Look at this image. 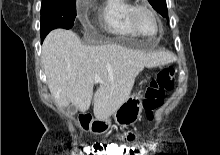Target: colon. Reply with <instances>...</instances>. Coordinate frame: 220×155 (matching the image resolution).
Wrapping results in <instances>:
<instances>
[{
	"mask_svg": "<svg viewBox=\"0 0 220 155\" xmlns=\"http://www.w3.org/2000/svg\"><path fill=\"white\" fill-rule=\"evenodd\" d=\"M175 84V69L166 67L159 71L149 82L144 92L143 106L147 117L152 119L154 112L164 101L167 91L173 89ZM134 136V135H132ZM89 155H137L139 146H106L102 143H94L87 147Z\"/></svg>",
	"mask_w": 220,
	"mask_h": 155,
	"instance_id": "5ec220e1",
	"label": "colon"
}]
</instances>
